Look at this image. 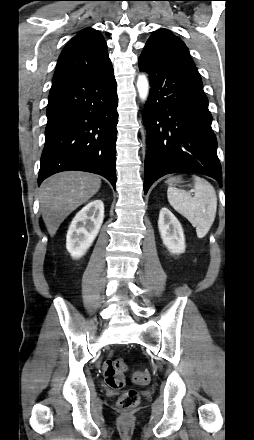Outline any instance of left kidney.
Wrapping results in <instances>:
<instances>
[{"mask_svg":"<svg viewBox=\"0 0 254 440\" xmlns=\"http://www.w3.org/2000/svg\"><path fill=\"white\" fill-rule=\"evenodd\" d=\"M158 228L163 244L173 254L185 251V238L182 226L174 214L166 207L159 213Z\"/></svg>","mask_w":254,"mask_h":440,"instance_id":"1","label":"left kidney"}]
</instances>
